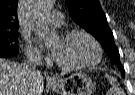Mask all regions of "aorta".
Segmentation results:
<instances>
[{
    "mask_svg": "<svg viewBox=\"0 0 135 95\" xmlns=\"http://www.w3.org/2000/svg\"><path fill=\"white\" fill-rule=\"evenodd\" d=\"M52 0H33V28L34 33L41 40L52 41L56 36V32L50 31L49 26L43 21L44 15L52 8Z\"/></svg>",
    "mask_w": 135,
    "mask_h": 95,
    "instance_id": "aorta-1",
    "label": "aorta"
}]
</instances>
